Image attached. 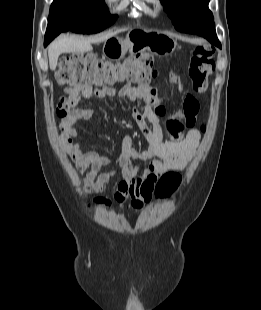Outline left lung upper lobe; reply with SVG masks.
Returning a JSON list of instances; mask_svg holds the SVG:
<instances>
[{
  "label": "left lung upper lobe",
  "instance_id": "left-lung-upper-lobe-1",
  "mask_svg": "<svg viewBox=\"0 0 261 310\" xmlns=\"http://www.w3.org/2000/svg\"><path fill=\"white\" fill-rule=\"evenodd\" d=\"M178 31L192 33L201 22H214L209 0H161Z\"/></svg>",
  "mask_w": 261,
  "mask_h": 310
}]
</instances>
